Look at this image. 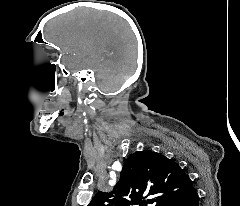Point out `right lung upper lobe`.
Listing matches in <instances>:
<instances>
[{"label":"right lung upper lobe","instance_id":"1","mask_svg":"<svg viewBox=\"0 0 240 206\" xmlns=\"http://www.w3.org/2000/svg\"><path fill=\"white\" fill-rule=\"evenodd\" d=\"M192 187L190 178L172 159L150 150L137 151L125 161L114 189L99 191L88 206H166ZM147 197L151 198L145 201Z\"/></svg>","mask_w":240,"mask_h":206}]
</instances>
